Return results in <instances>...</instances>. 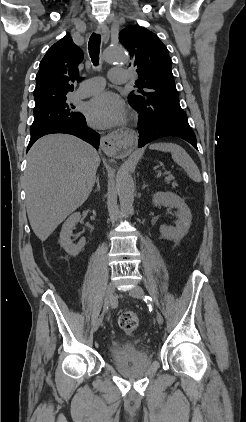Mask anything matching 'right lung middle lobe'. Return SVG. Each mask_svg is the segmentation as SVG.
I'll use <instances>...</instances> for the list:
<instances>
[{
	"instance_id": "right-lung-middle-lobe-1",
	"label": "right lung middle lobe",
	"mask_w": 246,
	"mask_h": 422,
	"mask_svg": "<svg viewBox=\"0 0 246 422\" xmlns=\"http://www.w3.org/2000/svg\"><path fill=\"white\" fill-rule=\"evenodd\" d=\"M66 99H61L44 107L34 109V121L31 125L30 132L51 124L72 122L79 119L82 114L74 111V106L68 105Z\"/></svg>"
}]
</instances>
